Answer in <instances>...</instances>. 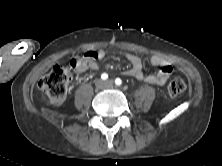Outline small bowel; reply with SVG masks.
<instances>
[{
  "instance_id": "1",
  "label": "small bowel",
  "mask_w": 222,
  "mask_h": 166,
  "mask_svg": "<svg viewBox=\"0 0 222 166\" xmlns=\"http://www.w3.org/2000/svg\"><path fill=\"white\" fill-rule=\"evenodd\" d=\"M122 55L131 64V67L124 72L126 76L153 85L163 86L173 70L171 64L167 60L157 55H153L150 57L149 62L153 67L158 69L154 73L146 74L143 70V61L140 57L130 52H122ZM105 56L106 51L102 49L88 51L83 55L73 58L70 61V66L76 73H83L87 70H97L99 68L98 61L104 59Z\"/></svg>"
}]
</instances>
